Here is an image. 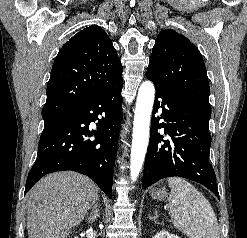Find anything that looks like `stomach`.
Returning <instances> with one entry per match:
<instances>
[{
	"label": "stomach",
	"mask_w": 247,
	"mask_h": 238,
	"mask_svg": "<svg viewBox=\"0 0 247 238\" xmlns=\"http://www.w3.org/2000/svg\"><path fill=\"white\" fill-rule=\"evenodd\" d=\"M150 196L153 199L163 201V200H165L167 198L168 192H167V189L166 188L154 187L150 191Z\"/></svg>",
	"instance_id": "obj_1"
}]
</instances>
